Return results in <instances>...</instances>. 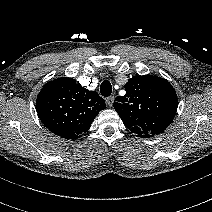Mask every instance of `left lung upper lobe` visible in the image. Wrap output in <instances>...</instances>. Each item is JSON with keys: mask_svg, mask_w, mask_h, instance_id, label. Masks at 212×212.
Segmentation results:
<instances>
[{"mask_svg": "<svg viewBox=\"0 0 212 212\" xmlns=\"http://www.w3.org/2000/svg\"><path fill=\"white\" fill-rule=\"evenodd\" d=\"M124 88L126 94L116 97L114 108L125 126L146 138L164 132L178 106L172 85L163 78L145 75L129 79Z\"/></svg>", "mask_w": 212, "mask_h": 212, "instance_id": "5c2ea615", "label": "left lung upper lobe"}]
</instances>
